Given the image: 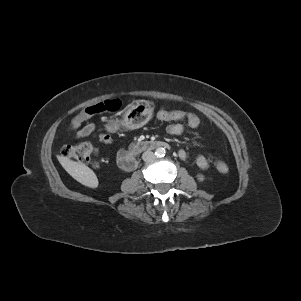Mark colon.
Instances as JSON below:
<instances>
[{"instance_id":"5ec220e1","label":"colon","mask_w":301,"mask_h":301,"mask_svg":"<svg viewBox=\"0 0 301 301\" xmlns=\"http://www.w3.org/2000/svg\"><path fill=\"white\" fill-rule=\"evenodd\" d=\"M150 105L156 108L157 113L165 111L168 118H181L187 120L188 124L195 128L200 124L199 116L196 113H187L182 110L170 111L166 106L158 105L154 101ZM121 107V101L118 99H111L99 102L92 106L87 107L80 114L76 115L71 121V127L77 128L86 118L97 113L117 111ZM62 156L68 159L76 160L78 162L90 164L94 167L99 166L98 150L89 143L79 142L72 145L63 147ZM216 169L226 174L229 171L228 166L223 162L216 163Z\"/></svg>"}]
</instances>
